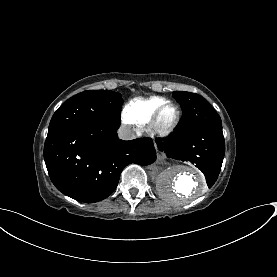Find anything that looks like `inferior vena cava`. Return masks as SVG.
Here are the masks:
<instances>
[{"mask_svg": "<svg viewBox=\"0 0 277 277\" xmlns=\"http://www.w3.org/2000/svg\"><path fill=\"white\" fill-rule=\"evenodd\" d=\"M118 136L121 140H133L136 138L135 132L126 126L119 127Z\"/></svg>", "mask_w": 277, "mask_h": 277, "instance_id": "obj_1", "label": "inferior vena cava"}]
</instances>
